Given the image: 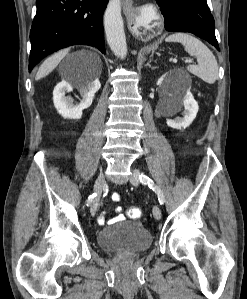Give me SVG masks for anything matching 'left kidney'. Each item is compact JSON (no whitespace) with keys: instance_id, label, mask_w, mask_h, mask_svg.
<instances>
[{"instance_id":"left-kidney-1","label":"left kidney","mask_w":247,"mask_h":299,"mask_svg":"<svg viewBox=\"0 0 247 299\" xmlns=\"http://www.w3.org/2000/svg\"><path fill=\"white\" fill-rule=\"evenodd\" d=\"M157 85H159L163 90L167 91L171 100H170V110L177 111L184 106V117L176 118L174 120L167 119L166 123L169 127L174 129H185L193 122L196 118L198 112V103L194 99L190 90H186L183 92L180 91H170V79H167L165 75H163L158 81Z\"/></svg>"}]
</instances>
